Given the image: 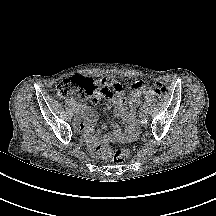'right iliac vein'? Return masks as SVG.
Here are the masks:
<instances>
[{
  "label": "right iliac vein",
  "mask_w": 216,
  "mask_h": 216,
  "mask_svg": "<svg viewBox=\"0 0 216 216\" xmlns=\"http://www.w3.org/2000/svg\"><path fill=\"white\" fill-rule=\"evenodd\" d=\"M76 113H77L76 119H80V118L82 117V110H81V108H79V109L76 111Z\"/></svg>",
  "instance_id": "obj_1"
}]
</instances>
